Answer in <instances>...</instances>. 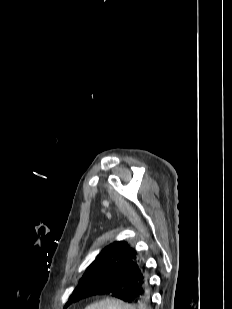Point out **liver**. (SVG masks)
Wrapping results in <instances>:
<instances>
[{"label": "liver", "instance_id": "liver-1", "mask_svg": "<svg viewBox=\"0 0 232 309\" xmlns=\"http://www.w3.org/2000/svg\"><path fill=\"white\" fill-rule=\"evenodd\" d=\"M85 309H136V308L130 304L122 302L121 300L107 298L99 302L93 303L87 306Z\"/></svg>", "mask_w": 232, "mask_h": 309}]
</instances>
